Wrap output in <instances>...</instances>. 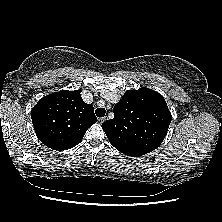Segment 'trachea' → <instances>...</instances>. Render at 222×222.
<instances>
[{
  "mask_svg": "<svg viewBox=\"0 0 222 222\" xmlns=\"http://www.w3.org/2000/svg\"><path fill=\"white\" fill-rule=\"evenodd\" d=\"M106 113V110L104 108H98L95 111V114L97 117H104Z\"/></svg>",
  "mask_w": 222,
  "mask_h": 222,
  "instance_id": "1",
  "label": "trachea"
}]
</instances>
